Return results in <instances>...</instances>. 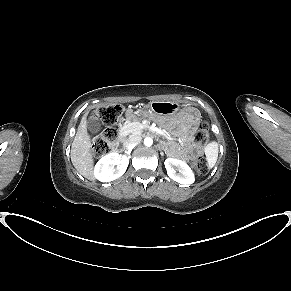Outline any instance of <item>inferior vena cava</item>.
<instances>
[{
    "label": "inferior vena cava",
    "instance_id": "1",
    "mask_svg": "<svg viewBox=\"0 0 291 291\" xmlns=\"http://www.w3.org/2000/svg\"><path fill=\"white\" fill-rule=\"evenodd\" d=\"M141 138L140 137H135L130 139V141L127 143L126 147L128 149H133L139 142H140Z\"/></svg>",
    "mask_w": 291,
    "mask_h": 291
}]
</instances>
